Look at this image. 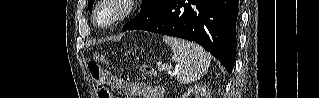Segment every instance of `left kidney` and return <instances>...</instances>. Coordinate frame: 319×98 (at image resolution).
<instances>
[{"label": "left kidney", "mask_w": 319, "mask_h": 98, "mask_svg": "<svg viewBox=\"0 0 319 98\" xmlns=\"http://www.w3.org/2000/svg\"><path fill=\"white\" fill-rule=\"evenodd\" d=\"M195 96V98H211V89L204 85H197L191 88H188L180 98H191Z\"/></svg>", "instance_id": "left-kidney-1"}]
</instances>
